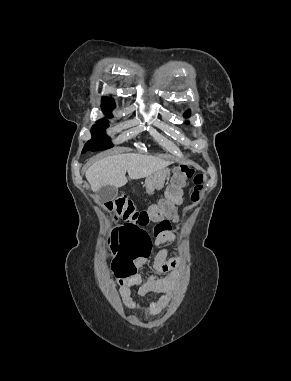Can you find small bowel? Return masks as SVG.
Here are the masks:
<instances>
[{
	"label": "small bowel",
	"mask_w": 291,
	"mask_h": 381,
	"mask_svg": "<svg viewBox=\"0 0 291 381\" xmlns=\"http://www.w3.org/2000/svg\"><path fill=\"white\" fill-rule=\"evenodd\" d=\"M172 221L179 225V216H174ZM167 229H163V225L158 226L154 230V240L149 242V236L141 239V246L149 248L148 254H151L153 247H157L163 243L175 242L178 237L171 229L170 222L167 221ZM142 251V250H141ZM146 255L139 254L135 258L137 266H142L145 262ZM153 268L156 273H161L162 276L151 275L147 279H142L139 274H132L127 277H118L116 283L123 304L132 309H143L148 313L155 314L164 310L168 305L172 292L178 282L179 270L182 267V260L179 257H169V250L163 249L152 255ZM137 287L139 296H144L150 292L159 294V298L148 306H143L138 302L133 295L134 288Z\"/></svg>",
	"instance_id": "small-bowel-1"
}]
</instances>
